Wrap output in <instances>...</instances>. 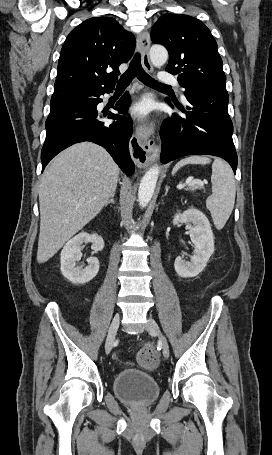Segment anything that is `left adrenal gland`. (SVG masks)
<instances>
[{
    "label": "left adrenal gland",
    "mask_w": 272,
    "mask_h": 455,
    "mask_svg": "<svg viewBox=\"0 0 272 455\" xmlns=\"http://www.w3.org/2000/svg\"><path fill=\"white\" fill-rule=\"evenodd\" d=\"M169 188H170L169 186H166V188H165V196L167 195Z\"/></svg>",
    "instance_id": "1"
}]
</instances>
